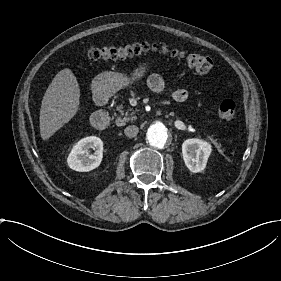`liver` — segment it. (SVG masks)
<instances>
[{
    "label": "liver",
    "mask_w": 281,
    "mask_h": 281,
    "mask_svg": "<svg viewBox=\"0 0 281 281\" xmlns=\"http://www.w3.org/2000/svg\"><path fill=\"white\" fill-rule=\"evenodd\" d=\"M81 88L69 69L61 70L49 85L40 109V135L48 141L79 112Z\"/></svg>",
    "instance_id": "obj_1"
}]
</instances>
